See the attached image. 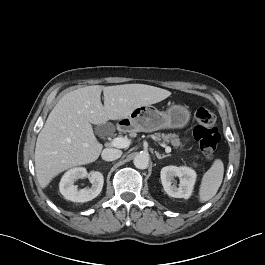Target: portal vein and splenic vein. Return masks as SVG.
<instances>
[{
	"label": "portal vein and splenic vein",
	"instance_id": "1",
	"mask_svg": "<svg viewBox=\"0 0 265 265\" xmlns=\"http://www.w3.org/2000/svg\"><path fill=\"white\" fill-rule=\"evenodd\" d=\"M130 144L131 140L128 138L116 137L111 140V145L116 148H126L129 147ZM165 151L169 153L171 152V148L169 146H166Z\"/></svg>",
	"mask_w": 265,
	"mask_h": 265
}]
</instances>
